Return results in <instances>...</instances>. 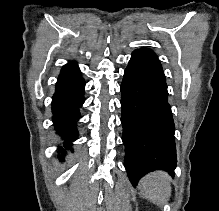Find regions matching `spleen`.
<instances>
[{"label": "spleen", "mask_w": 219, "mask_h": 211, "mask_svg": "<svg viewBox=\"0 0 219 211\" xmlns=\"http://www.w3.org/2000/svg\"><path fill=\"white\" fill-rule=\"evenodd\" d=\"M139 187L143 197L161 205L169 199L171 195L170 177L166 171H152L142 177Z\"/></svg>", "instance_id": "3e777b00"}]
</instances>
